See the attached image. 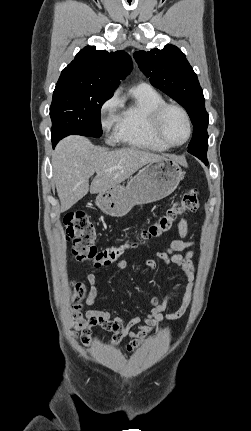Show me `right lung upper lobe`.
I'll return each instance as SVG.
<instances>
[{"mask_svg": "<svg viewBox=\"0 0 251 431\" xmlns=\"http://www.w3.org/2000/svg\"><path fill=\"white\" fill-rule=\"evenodd\" d=\"M132 69L125 51L107 52L86 46L62 70L57 83H70L112 93Z\"/></svg>", "mask_w": 251, "mask_h": 431, "instance_id": "obj_1", "label": "right lung upper lobe"}]
</instances>
